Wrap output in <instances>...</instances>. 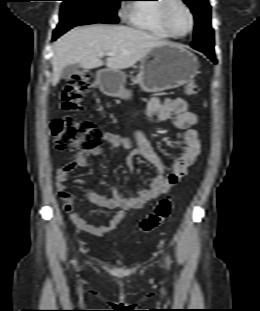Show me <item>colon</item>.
Wrapping results in <instances>:
<instances>
[{
  "label": "colon",
  "mask_w": 260,
  "mask_h": 311,
  "mask_svg": "<svg viewBox=\"0 0 260 311\" xmlns=\"http://www.w3.org/2000/svg\"><path fill=\"white\" fill-rule=\"evenodd\" d=\"M89 86V74L86 71L72 75L62 91V111L67 116L55 120L51 125L53 145L57 150L74 149L78 158L85 159L93 149L102 143V132L87 119H76L70 114L79 113L83 109L82 98ZM188 95L198 93V86L191 81L185 85ZM174 206L172 195L164 196L153 211L140 223V231L148 234L162 225L171 215ZM103 234V233H101Z\"/></svg>",
  "instance_id": "colon-1"
}]
</instances>
